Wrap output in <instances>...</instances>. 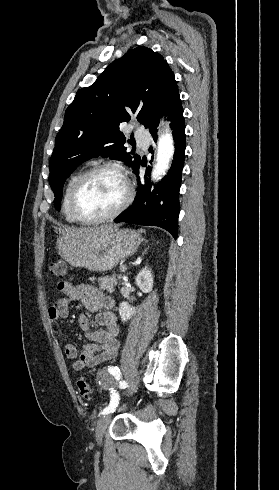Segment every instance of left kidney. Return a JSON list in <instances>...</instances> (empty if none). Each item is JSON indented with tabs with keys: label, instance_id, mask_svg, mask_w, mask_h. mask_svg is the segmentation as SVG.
<instances>
[{
	"label": "left kidney",
	"instance_id": "1",
	"mask_svg": "<svg viewBox=\"0 0 279 490\" xmlns=\"http://www.w3.org/2000/svg\"><path fill=\"white\" fill-rule=\"evenodd\" d=\"M153 280L154 278L151 274V270L150 268H147V266H145V268H142V270H140L139 274H137L135 278V282L138 288H140L141 292H143V294H149V292H152L154 284ZM118 310L121 322H128V320H131L132 316H134L137 308H134V306H130L128 302H121V304H119Z\"/></svg>",
	"mask_w": 279,
	"mask_h": 490
}]
</instances>
